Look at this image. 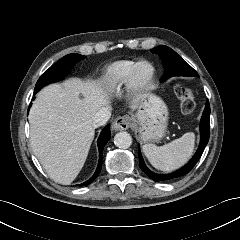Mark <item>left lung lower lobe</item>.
Returning a JSON list of instances; mask_svg holds the SVG:
<instances>
[{
  "label": "left lung lower lobe",
  "instance_id": "0a47b994",
  "mask_svg": "<svg viewBox=\"0 0 240 240\" xmlns=\"http://www.w3.org/2000/svg\"><path fill=\"white\" fill-rule=\"evenodd\" d=\"M178 76V75H177ZM200 134H201V140H200V145L199 148L197 150V152L195 153V155L192 157V159L181 169L172 172L170 174H156L153 173L151 170H149L142 158V155L140 153V149H139V166L142 169V171L151 179H153L154 181L158 182V181H166V180H171V179H175L181 176H184L186 174H188L193 167L196 165V163L198 162V160L200 159L208 141H209V136H210V105H209V101L207 100L206 102V106L201 118V123H200Z\"/></svg>",
  "mask_w": 240,
  "mask_h": 240
}]
</instances>
